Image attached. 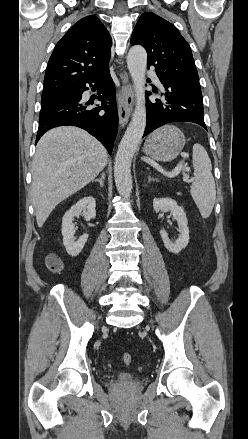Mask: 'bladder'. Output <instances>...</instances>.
Returning <instances> with one entry per match:
<instances>
[{"label":"bladder","mask_w":248,"mask_h":439,"mask_svg":"<svg viewBox=\"0 0 248 439\" xmlns=\"http://www.w3.org/2000/svg\"><path fill=\"white\" fill-rule=\"evenodd\" d=\"M138 381V375L131 372H121L115 377V384L117 385H129Z\"/></svg>","instance_id":"obj_1"}]
</instances>
